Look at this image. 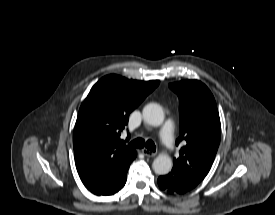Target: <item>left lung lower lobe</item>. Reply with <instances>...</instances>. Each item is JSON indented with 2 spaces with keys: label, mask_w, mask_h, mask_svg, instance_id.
I'll return each instance as SVG.
<instances>
[{
  "label": "left lung lower lobe",
  "mask_w": 275,
  "mask_h": 215,
  "mask_svg": "<svg viewBox=\"0 0 275 215\" xmlns=\"http://www.w3.org/2000/svg\"><path fill=\"white\" fill-rule=\"evenodd\" d=\"M201 181V179L173 167L169 174L158 178V185L170 194H183L195 188Z\"/></svg>",
  "instance_id": "0a47b994"
}]
</instances>
